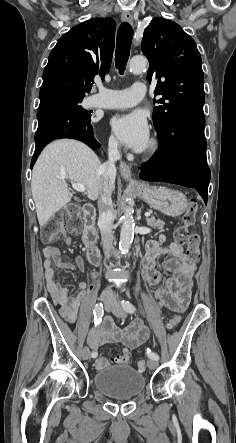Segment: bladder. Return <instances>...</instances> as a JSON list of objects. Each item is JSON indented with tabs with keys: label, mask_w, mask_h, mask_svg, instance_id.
Returning <instances> with one entry per match:
<instances>
[{
	"label": "bladder",
	"mask_w": 236,
	"mask_h": 443,
	"mask_svg": "<svg viewBox=\"0 0 236 443\" xmlns=\"http://www.w3.org/2000/svg\"><path fill=\"white\" fill-rule=\"evenodd\" d=\"M95 387L113 399L134 398L145 386V376L135 368L114 365L98 369L93 375Z\"/></svg>",
	"instance_id": "31cf9c89"
}]
</instances>
